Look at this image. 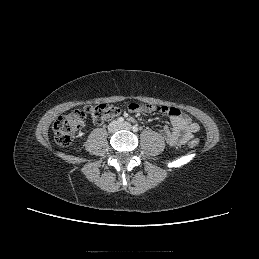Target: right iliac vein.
Listing matches in <instances>:
<instances>
[{"mask_svg":"<svg viewBox=\"0 0 259 259\" xmlns=\"http://www.w3.org/2000/svg\"><path fill=\"white\" fill-rule=\"evenodd\" d=\"M118 128H119V124H118V122H116V121L112 122V123L110 124V126H109V129H110V131H112V132L118 130Z\"/></svg>","mask_w":259,"mask_h":259,"instance_id":"right-iliac-vein-1","label":"right iliac vein"}]
</instances>
